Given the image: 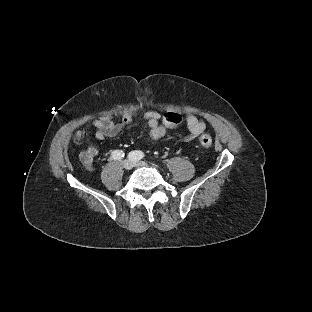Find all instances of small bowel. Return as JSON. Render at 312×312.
<instances>
[{
  "label": "small bowel",
  "mask_w": 312,
  "mask_h": 312,
  "mask_svg": "<svg viewBox=\"0 0 312 312\" xmlns=\"http://www.w3.org/2000/svg\"><path fill=\"white\" fill-rule=\"evenodd\" d=\"M137 114L135 112H128L123 115L120 122H115L111 117L104 116L96 119L92 122V126L95 129V137L97 140L104 138L115 137L121 130L128 124H130ZM142 118L147 122V137L151 140L150 129L151 126L160 121L161 115L157 111H147L142 115ZM185 124L189 130V135L185 138V141L191 142L198 138L206 129L205 122L196 117L193 114L185 115ZM98 154V149L94 145H90L80 153V160L83 166L88 171L94 170V158Z\"/></svg>",
  "instance_id": "c3829d8e"
}]
</instances>
